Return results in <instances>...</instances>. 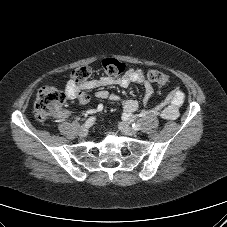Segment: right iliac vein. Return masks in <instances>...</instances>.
Returning a JSON list of instances; mask_svg holds the SVG:
<instances>
[{
  "mask_svg": "<svg viewBox=\"0 0 227 227\" xmlns=\"http://www.w3.org/2000/svg\"><path fill=\"white\" fill-rule=\"evenodd\" d=\"M88 134V127L87 126H82L80 131H79V135L81 137H85Z\"/></svg>",
  "mask_w": 227,
  "mask_h": 227,
  "instance_id": "right-iliac-vein-1",
  "label": "right iliac vein"
}]
</instances>
